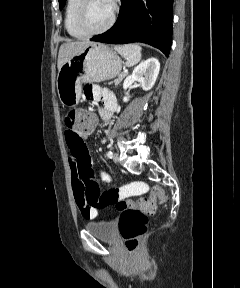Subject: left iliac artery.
Wrapping results in <instances>:
<instances>
[{"label": "left iliac artery", "mask_w": 240, "mask_h": 288, "mask_svg": "<svg viewBox=\"0 0 240 288\" xmlns=\"http://www.w3.org/2000/svg\"><path fill=\"white\" fill-rule=\"evenodd\" d=\"M106 155L109 159L113 157V153L111 151H108Z\"/></svg>", "instance_id": "1"}]
</instances>
